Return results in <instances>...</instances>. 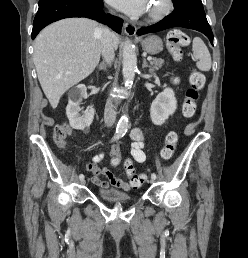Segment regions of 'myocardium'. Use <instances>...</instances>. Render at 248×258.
<instances>
[{
  "mask_svg": "<svg viewBox=\"0 0 248 258\" xmlns=\"http://www.w3.org/2000/svg\"><path fill=\"white\" fill-rule=\"evenodd\" d=\"M173 9V0H161L160 5L148 13L147 19L159 21L165 18Z\"/></svg>",
  "mask_w": 248,
  "mask_h": 258,
  "instance_id": "obj_1",
  "label": "myocardium"
}]
</instances>
